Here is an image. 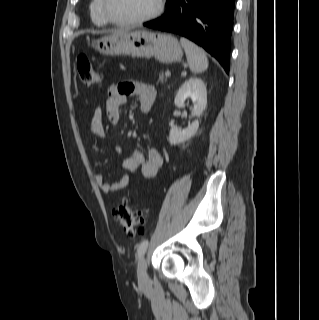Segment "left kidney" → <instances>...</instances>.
Masks as SVG:
<instances>
[{"label": "left kidney", "mask_w": 319, "mask_h": 320, "mask_svg": "<svg viewBox=\"0 0 319 320\" xmlns=\"http://www.w3.org/2000/svg\"><path fill=\"white\" fill-rule=\"evenodd\" d=\"M190 97L194 103L191 108L192 114L199 118L207 105V90L204 81L200 78H190L186 80L179 88L175 96V106L184 107L185 100ZM199 128V120L193 121L187 128L179 130L171 128L169 133V142L171 145L184 143L194 136Z\"/></svg>", "instance_id": "1"}]
</instances>
